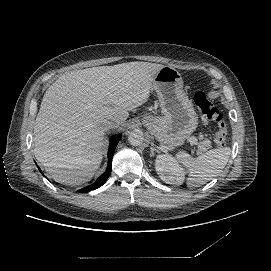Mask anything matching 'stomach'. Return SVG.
<instances>
[{
    "label": "stomach",
    "instance_id": "stomach-1",
    "mask_svg": "<svg viewBox=\"0 0 271 271\" xmlns=\"http://www.w3.org/2000/svg\"><path fill=\"white\" fill-rule=\"evenodd\" d=\"M152 89L163 116L144 115V126L161 144L182 145L197 128L198 116L183 90L181 74L170 66L160 68L153 77Z\"/></svg>",
    "mask_w": 271,
    "mask_h": 271
}]
</instances>
